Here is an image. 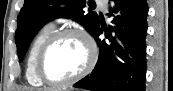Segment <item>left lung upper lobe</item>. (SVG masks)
<instances>
[{
    "instance_id": "5c2ea615",
    "label": "left lung upper lobe",
    "mask_w": 173,
    "mask_h": 91,
    "mask_svg": "<svg viewBox=\"0 0 173 91\" xmlns=\"http://www.w3.org/2000/svg\"><path fill=\"white\" fill-rule=\"evenodd\" d=\"M85 0H25L17 22L16 45L19 60L22 61L30 41L37 31L49 20L54 18H72L82 24L93 35L98 24V15L86 13ZM91 4V1L88 5Z\"/></svg>"
}]
</instances>
